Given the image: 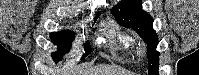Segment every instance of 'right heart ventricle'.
<instances>
[{"label": "right heart ventricle", "instance_id": "e07e8e85", "mask_svg": "<svg viewBox=\"0 0 199 75\" xmlns=\"http://www.w3.org/2000/svg\"><path fill=\"white\" fill-rule=\"evenodd\" d=\"M110 38L117 42L123 49L129 50L132 47V38L123 31L112 26L109 30Z\"/></svg>", "mask_w": 199, "mask_h": 75}]
</instances>
